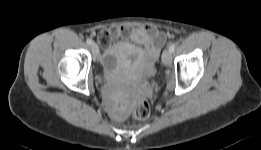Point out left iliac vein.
<instances>
[{"mask_svg":"<svg viewBox=\"0 0 261 150\" xmlns=\"http://www.w3.org/2000/svg\"><path fill=\"white\" fill-rule=\"evenodd\" d=\"M162 61L164 65L170 66L172 62V52L169 49H165L162 54Z\"/></svg>","mask_w":261,"mask_h":150,"instance_id":"1","label":"left iliac vein"}]
</instances>
